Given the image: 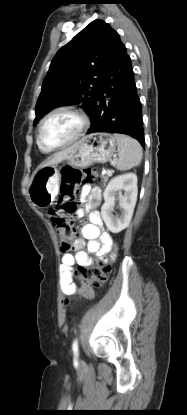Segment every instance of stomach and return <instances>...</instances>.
Here are the masks:
<instances>
[{"instance_id":"1","label":"stomach","mask_w":187,"mask_h":415,"mask_svg":"<svg viewBox=\"0 0 187 415\" xmlns=\"http://www.w3.org/2000/svg\"><path fill=\"white\" fill-rule=\"evenodd\" d=\"M117 141L114 135L98 132L88 135L76 143L64 159L74 167H86L92 163H106L114 155ZM59 168L57 164L41 167L32 175L28 195L38 208L53 204L59 188Z\"/></svg>"}]
</instances>
